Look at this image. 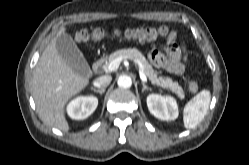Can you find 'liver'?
I'll return each instance as SVG.
<instances>
[{
    "instance_id": "1",
    "label": "liver",
    "mask_w": 249,
    "mask_h": 165,
    "mask_svg": "<svg viewBox=\"0 0 249 165\" xmlns=\"http://www.w3.org/2000/svg\"><path fill=\"white\" fill-rule=\"evenodd\" d=\"M65 31V27L61 28L43 51L31 83V93L41 120L64 132L69 130L65 105L89 84V78L77 74L56 49V39Z\"/></svg>"
}]
</instances>
